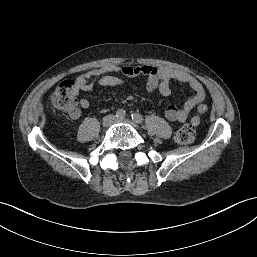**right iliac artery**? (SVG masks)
<instances>
[{
    "label": "right iliac artery",
    "instance_id": "82829eb1",
    "mask_svg": "<svg viewBox=\"0 0 257 257\" xmlns=\"http://www.w3.org/2000/svg\"><path fill=\"white\" fill-rule=\"evenodd\" d=\"M125 115H126V113H125V111L124 110H122V109H119L117 112H116V117H118V118H124L125 117Z\"/></svg>",
    "mask_w": 257,
    "mask_h": 257
}]
</instances>
